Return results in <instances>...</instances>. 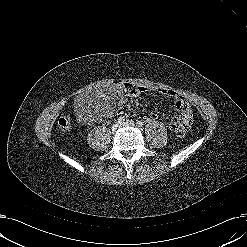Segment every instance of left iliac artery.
Returning <instances> with one entry per match:
<instances>
[{
  "label": "left iliac artery",
  "mask_w": 247,
  "mask_h": 247,
  "mask_svg": "<svg viewBox=\"0 0 247 247\" xmlns=\"http://www.w3.org/2000/svg\"><path fill=\"white\" fill-rule=\"evenodd\" d=\"M137 125H138L139 127H141V126H143V122H142V121H138V122H137Z\"/></svg>",
  "instance_id": "1"
}]
</instances>
